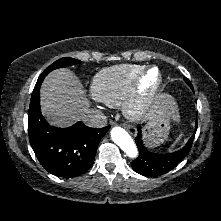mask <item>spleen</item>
Returning a JSON list of instances; mask_svg holds the SVG:
<instances>
[{"label":"spleen","mask_w":221,"mask_h":221,"mask_svg":"<svg viewBox=\"0 0 221 221\" xmlns=\"http://www.w3.org/2000/svg\"><path fill=\"white\" fill-rule=\"evenodd\" d=\"M181 138V136L180 137H178L177 139H176V141H175V143L172 145V147H174L175 146V144L179 141V139Z\"/></svg>","instance_id":"obj_1"}]
</instances>
